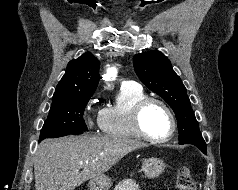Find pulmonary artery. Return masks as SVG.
Here are the masks:
<instances>
[{
	"mask_svg": "<svg viewBox=\"0 0 238 190\" xmlns=\"http://www.w3.org/2000/svg\"><path fill=\"white\" fill-rule=\"evenodd\" d=\"M138 87H140L138 83L131 80H125L121 84V88H138Z\"/></svg>",
	"mask_w": 238,
	"mask_h": 190,
	"instance_id": "1",
	"label": "pulmonary artery"
}]
</instances>
